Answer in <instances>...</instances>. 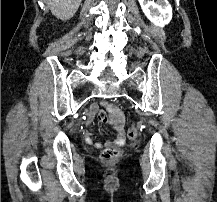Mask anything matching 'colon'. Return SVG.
<instances>
[{
	"label": "colon",
	"instance_id": "5ec220e1",
	"mask_svg": "<svg viewBox=\"0 0 217 202\" xmlns=\"http://www.w3.org/2000/svg\"><path fill=\"white\" fill-rule=\"evenodd\" d=\"M97 122L98 123H106V112L101 110L97 112ZM136 130L134 128H131L128 131V136L130 138V140H135V135H136ZM121 156V150L117 147H109V148H105L102 151L101 157L102 159H104L105 161H115L117 160L119 157Z\"/></svg>",
	"mask_w": 217,
	"mask_h": 202
}]
</instances>
